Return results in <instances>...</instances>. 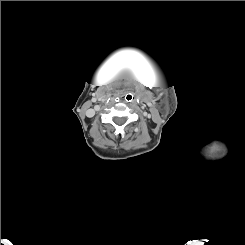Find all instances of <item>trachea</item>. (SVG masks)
<instances>
[{
    "label": "trachea",
    "instance_id": "trachea-1",
    "mask_svg": "<svg viewBox=\"0 0 245 245\" xmlns=\"http://www.w3.org/2000/svg\"><path fill=\"white\" fill-rule=\"evenodd\" d=\"M125 99L130 102L133 99V96L131 94H127Z\"/></svg>",
    "mask_w": 245,
    "mask_h": 245
}]
</instances>
